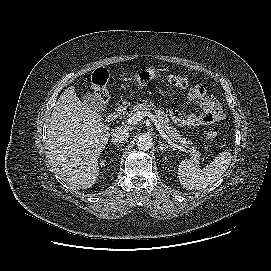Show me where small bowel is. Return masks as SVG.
<instances>
[{
	"label": "small bowel",
	"mask_w": 271,
	"mask_h": 271,
	"mask_svg": "<svg viewBox=\"0 0 271 271\" xmlns=\"http://www.w3.org/2000/svg\"><path fill=\"white\" fill-rule=\"evenodd\" d=\"M189 101H198L201 104L200 113L190 112L183 115L178 110H171L169 117L178 126L197 127L211 125L224 119V112L220 102L209 94L203 85L197 84L190 88L187 93Z\"/></svg>",
	"instance_id": "small-bowel-1"
}]
</instances>
